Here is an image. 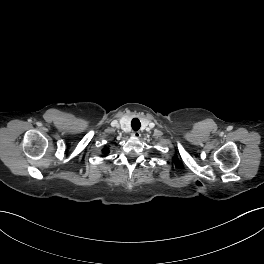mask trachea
Returning a JSON list of instances; mask_svg holds the SVG:
<instances>
[{
  "label": "trachea",
  "mask_w": 264,
  "mask_h": 264,
  "mask_svg": "<svg viewBox=\"0 0 264 264\" xmlns=\"http://www.w3.org/2000/svg\"><path fill=\"white\" fill-rule=\"evenodd\" d=\"M131 126H132V129H133V130L137 131V130L140 128V126H141V123H140L139 119L134 118V119L131 121Z\"/></svg>",
  "instance_id": "obj_1"
}]
</instances>
